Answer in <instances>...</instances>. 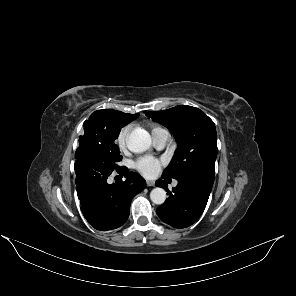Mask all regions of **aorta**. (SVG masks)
Wrapping results in <instances>:
<instances>
[{
  "mask_svg": "<svg viewBox=\"0 0 296 296\" xmlns=\"http://www.w3.org/2000/svg\"><path fill=\"white\" fill-rule=\"evenodd\" d=\"M127 148L133 153H142L151 146L150 136L142 130H133L126 138ZM166 191L156 187L150 192V199L154 204L161 205L166 200Z\"/></svg>",
  "mask_w": 296,
  "mask_h": 296,
  "instance_id": "obj_1",
  "label": "aorta"
}]
</instances>
